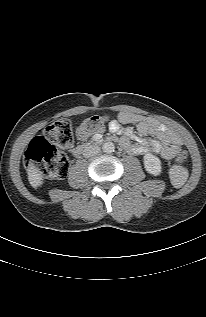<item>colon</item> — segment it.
I'll list each match as a JSON object with an SVG mask.
<instances>
[{
	"mask_svg": "<svg viewBox=\"0 0 206 317\" xmlns=\"http://www.w3.org/2000/svg\"><path fill=\"white\" fill-rule=\"evenodd\" d=\"M107 123L104 115H95L82 122L78 129L81 137H87L102 132ZM74 140L70 121L61 119L48 126L43 134L35 137L29 144L25 154L28 167H35L46 178L60 180L66 177L69 170L67 156L59 150L72 145ZM186 159L184 153H179L171 168L170 177L174 185H182L188 176L183 166Z\"/></svg>",
	"mask_w": 206,
	"mask_h": 317,
	"instance_id": "obj_1",
	"label": "colon"
}]
</instances>
